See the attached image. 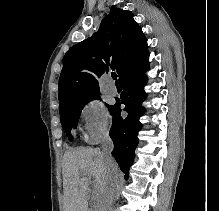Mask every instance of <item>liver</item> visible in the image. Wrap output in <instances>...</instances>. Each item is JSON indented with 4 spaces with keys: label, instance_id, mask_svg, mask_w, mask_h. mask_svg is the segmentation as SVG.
Segmentation results:
<instances>
[{
    "label": "liver",
    "instance_id": "obj_1",
    "mask_svg": "<svg viewBox=\"0 0 219 211\" xmlns=\"http://www.w3.org/2000/svg\"><path fill=\"white\" fill-rule=\"evenodd\" d=\"M87 175V177H84ZM120 169L107 167L100 149H69L63 157V193L65 211H89L88 193L93 177L92 195L98 211L109 209L117 191ZM117 177V179H115Z\"/></svg>",
    "mask_w": 219,
    "mask_h": 211
}]
</instances>
